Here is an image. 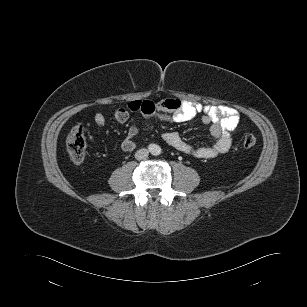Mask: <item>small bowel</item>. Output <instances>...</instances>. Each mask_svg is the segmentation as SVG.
Segmentation results:
<instances>
[{"label":"small bowel","instance_id":"obj_1","mask_svg":"<svg viewBox=\"0 0 307 307\" xmlns=\"http://www.w3.org/2000/svg\"><path fill=\"white\" fill-rule=\"evenodd\" d=\"M130 112H139L143 116V128L151 126L153 118L167 122H187L200 116L203 124L208 125L214 143L210 146L195 147L184 141L177 132H166L162 138L165 143L195 158L211 159L226 153L232 143V132L237 128L239 115L237 111L226 105L203 106L190 101L179 99H163L159 102L150 100H137L130 102L127 107H119L114 113V120L120 124L125 123ZM105 116L96 113L94 123L97 127L105 124ZM140 132L139 126H131L122 142V149L131 152L136 147V137Z\"/></svg>","mask_w":307,"mask_h":307}]
</instances>
